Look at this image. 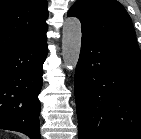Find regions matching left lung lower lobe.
I'll return each instance as SVG.
<instances>
[{
  "label": "left lung lower lobe",
  "instance_id": "obj_1",
  "mask_svg": "<svg viewBox=\"0 0 141 139\" xmlns=\"http://www.w3.org/2000/svg\"><path fill=\"white\" fill-rule=\"evenodd\" d=\"M75 99L79 139H141L139 48L83 33Z\"/></svg>",
  "mask_w": 141,
  "mask_h": 139
}]
</instances>
